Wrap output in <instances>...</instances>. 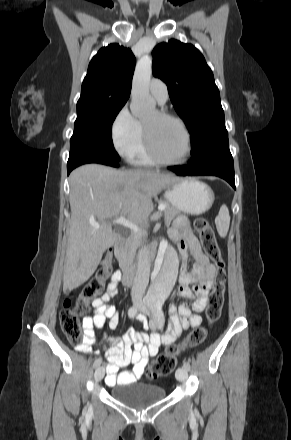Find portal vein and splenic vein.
Returning <instances> with one entry per match:
<instances>
[{
    "label": "portal vein and splenic vein",
    "mask_w": 291,
    "mask_h": 440,
    "mask_svg": "<svg viewBox=\"0 0 291 440\" xmlns=\"http://www.w3.org/2000/svg\"><path fill=\"white\" fill-rule=\"evenodd\" d=\"M164 209H165V205L160 204V205L158 206V210H159V211H163ZM113 223H114V224L122 225V226H124V227H127V228H129L130 230H132V231L135 232V233H140V232H141V228H140L137 224H135V223H133V222H131V221H128V220L125 219L122 215H121L119 218L115 219V220L113 221ZM94 226H95L96 228L99 227L98 224H94Z\"/></svg>",
    "instance_id": "1"
}]
</instances>
